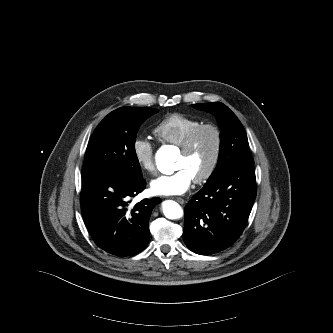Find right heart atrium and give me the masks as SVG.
Returning <instances> with one entry per match:
<instances>
[{"label": "right heart atrium", "mask_w": 333, "mask_h": 333, "mask_svg": "<svg viewBox=\"0 0 333 333\" xmlns=\"http://www.w3.org/2000/svg\"><path fill=\"white\" fill-rule=\"evenodd\" d=\"M132 151L139 167L148 173H153L155 170L154 147L151 141L145 136L136 137L133 141Z\"/></svg>", "instance_id": "obj_1"}]
</instances>
